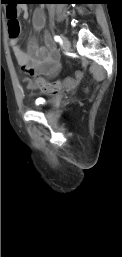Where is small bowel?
<instances>
[{"mask_svg":"<svg viewBox=\"0 0 122 257\" xmlns=\"http://www.w3.org/2000/svg\"><path fill=\"white\" fill-rule=\"evenodd\" d=\"M24 19L29 18L26 6L16 10ZM8 13V10H7ZM46 16L42 9H36L32 17L33 29L38 32L45 26ZM14 57L22 70L31 76L55 77L60 70L59 54L48 36L45 37V46H39L35 39H31L28 50L24 51L19 45L17 37L9 40Z\"/></svg>","mask_w":122,"mask_h":257,"instance_id":"small-bowel-1","label":"small bowel"}]
</instances>
